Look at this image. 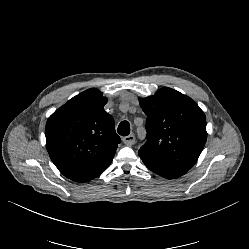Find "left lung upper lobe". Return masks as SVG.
I'll list each match as a JSON object with an SVG mask.
<instances>
[{
    "label": "left lung upper lobe",
    "mask_w": 249,
    "mask_h": 249,
    "mask_svg": "<svg viewBox=\"0 0 249 249\" xmlns=\"http://www.w3.org/2000/svg\"><path fill=\"white\" fill-rule=\"evenodd\" d=\"M147 115V141L139 149L144 161H160L189 170L201 154L206 139V117L195 101L171 88L139 99Z\"/></svg>",
    "instance_id": "5c2ea615"
}]
</instances>
